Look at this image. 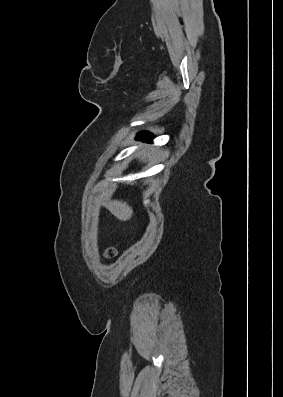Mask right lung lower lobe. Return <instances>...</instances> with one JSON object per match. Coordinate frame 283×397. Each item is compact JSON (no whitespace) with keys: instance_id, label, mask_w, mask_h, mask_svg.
I'll return each mask as SVG.
<instances>
[{"instance_id":"right-lung-lower-lobe-1","label":"right lung lower lobe","mask_w":283,"mask_h":397,"mask_svg":"<svg viewBox=\"0 0 283 397\" xmlns=\"http://www.w3.org/2000/svg\"><path fill=\"white\" fill-rule=\"evenodd\" d=\"M152 138H153L152 134L145 132V133H140L137 139L142 141H150Z\"/></svg>"}]
</instances>
